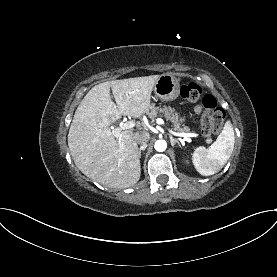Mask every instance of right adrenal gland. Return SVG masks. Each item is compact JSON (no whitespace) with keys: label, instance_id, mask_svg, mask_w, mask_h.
I'll return each instance as SVG.
<instances>
[{"label":"right adrenal gland","instance_id":"2a0ac1e0","mask_svg":"<svg viewBox=\"0 0 277 277\" xmlns=\"http://www.w3.org/2000/svg\"><path fill=\"white\" fill-rule=\"evenodd\" d=\"M146 148H147V145L141 146V147L139 148L138 153H139V156H140V157H141V151H145Z\"/></svg>","mask_w":277,"mask_h":277}]
</instances>
